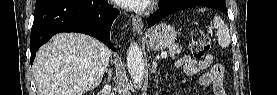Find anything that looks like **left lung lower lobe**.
<instances>
[{"mask_svg": "<svg viewBox=\"0 0 277 95\" xmlns=\"http://www.w3.org/2000/svg\"><path fill=\"white\" fill-rule=\"evenodd\" d=\"M203 1L209 2L210 0H165L161 2L160 9L156 11L153 15L147 18V23L150 26H153L155 23L162 20L167 15L174 13L176 11L193 7V6H199ZM219 2H223L220 6H222L220 11L228 15L226 4L224 0H219ZM216 9V8H215Z\"/></svg>", "mask_w": 277, "mask_h": 95, "instance_id": "0a47b994", "label": "left lung lower lobe"}]
</instances>
